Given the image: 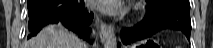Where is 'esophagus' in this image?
Instances as JSON below:
<instances>
[{
    "label": "esophagus",
    "mask_w": 213,
    "mask_h": 48,
    "mask_svg": "<svg viewBox=\"0 0 213 48\" xmlns=\"http://www.w3.org/2000/svg\"><path fill=\"white\" fill-rule=\"evenodd\" d=\"M111 27L105 23H100V37L104 41L108 34L111 32Z\"/></svg>",
    "instance_id": "obj_1"
}]
</instances>
